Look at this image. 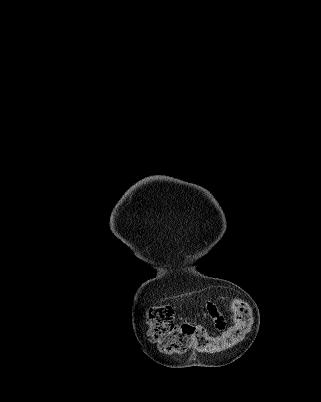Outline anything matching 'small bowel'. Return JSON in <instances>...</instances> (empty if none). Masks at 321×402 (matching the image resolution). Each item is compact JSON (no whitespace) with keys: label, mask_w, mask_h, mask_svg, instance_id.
<instances>
[{"label":"small bowel","mask_w":321,"mask_h":402,"mask_svg":"<svg viewBox=\"0 0 321 402\" xmlns=\"http://www.w3.org/2000/svg\"><path fill=\"white\" fill-rule=\"evenodd\" d=\"M205 310L208 316L212 319L214 326L217 330L222 331L226 328L227 321L221 313L219 307L213 302L205 303Z\"/></svg>","instance_id":"obj_1"}]
</instances>
